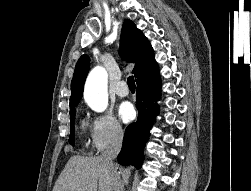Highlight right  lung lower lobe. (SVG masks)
Segmentation results:
<instances>
[{"mask_svg": "<svg viewBox=\"0 0 251 191\" xmlns=\"http://www.w3.org/2000/svg\"><path fill=\"white\" fill-rule=\"evenodd\" d=\"M161 80L159 75L137 84L136 107L138 119L125 131L122 149L117 160L122 165H133L139 168L143 161V147L150 136L159 107L154 101L160 99Z\"/></svg>", "mask_w": 251, "mask_h": 191, "instance_id": "obj_1", "label": "right lung lower lobe"}]
</instances>
